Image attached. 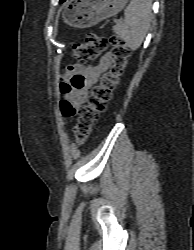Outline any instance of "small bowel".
I'll use <instances>...</instances> for the list:
<instances>
[{
    "label": "small bowel",
    "mask_w": 194,
    "mask_h": 250,
    "mask_svg": "<svg viewBox=\"0 0 194 250\" xmlns=\"http://www.w3.org/2000/svg\"><path fill=\"white\" fill-rule=\"evenodd\" d=\"M112 62L109 53L102 55L94 64L84 66L71 64L66 67L65 74L61 79L60 89L64 98L60 107L65 116L67 108H77L86 102L89 89L95 85L100 76L108 70Z\"/></svg>",
    "instance_id": "small-bowel-1"
}]
</instances>
